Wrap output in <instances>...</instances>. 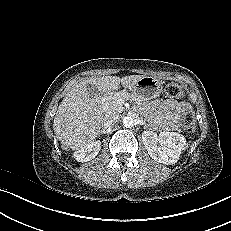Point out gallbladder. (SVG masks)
I'll list each match as a JSON object with an SVG mask.
<instances>
[{"label": "gallbladder", "instance_id": "obj_1", "mask_svg": "<svg viewBox=\"0 0 231 231\" xmlns=\"http://www.w3.org/2000/svg\"><path fill=\"white\" fill-rule=\"evenodd\" d=\"M86 92L91 97H99L101 92L98 90V88L93 84H87L86 85Z\"/></svg>", "mask_w": 231, "mask_h": 231}]
</instances>
